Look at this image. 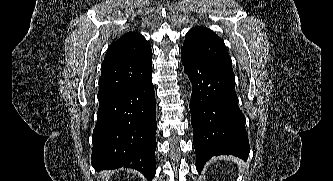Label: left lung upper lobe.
Returning a JSON list of instances; mask_svg holds the SVG:
<instances>
[{
    "label": "left lung upper lobe",
    "instance_id": "1",
    "mask_svg": "<svg viewBox=\"0 0 333 181\" xmlns=\"http://www.w3.org/2000/svg\"><path fill=\"white\" fill-rule=\"evenodd\" d=\"M182 50L202 61L233 73L232 60L223 40L208 28L194 27L189 30Z\"/></svg>",
    "mask_w": 333,
    "mask_h": 181
}]
</instances>
